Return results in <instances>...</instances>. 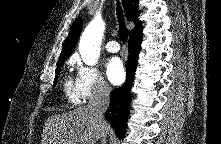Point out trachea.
I'll use <instances>...</instances> for the list:
<instances>
[{"label":"trachea","mask_w":221,"mask_h":144,"mask_svg":"<svg viewBox=\"0 0 221 144\" xmlns=\"http://www.w3.org/2000/svg\"><path fill=\"white\" fill-rule=\"evenodd\" d=\"M117 19L119 22V38L120 40L125 43L128 39V29L126 28L124 16L121 10V7L119 6V3H117Z\"/></svg>","instance_id":"obj_1"}]
</instances>
